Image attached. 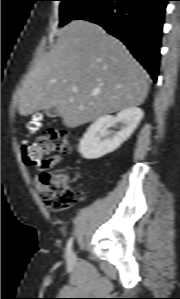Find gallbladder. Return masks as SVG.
<instances>
[{
  "label": "gallbladder",
  "instance_id": "gallbladder-1",
  "mask_svg": "<svg viewBox=\"0 0 180 299\" xmlns=\"http://www.w3.org/2000/svg\"><path fill=\"white\" fill-rule=\"evenodd\" d=\"M45 114L48 117L55 118L59 116V110L57 107H51L45 110Z\"/></svg>",
  "mask_w": 180,
  "mask_h": 299
}]
</instances>
